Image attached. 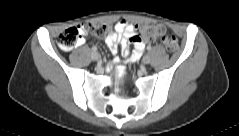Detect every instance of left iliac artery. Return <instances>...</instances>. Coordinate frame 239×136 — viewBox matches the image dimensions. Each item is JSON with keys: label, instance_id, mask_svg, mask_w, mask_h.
Instances as JSON below:
<instances>
[{"label": "left iliac artery", "instance_id": "left-iliac-artery-1", "mask_svg": "<svg viewBox=\"0 0 239 136\" xmlns=\"http://www.w3.org/2000/svg\"><path fill=\"white\" fill-rule=\"evenodd\" d=\"M150 49V46H146V50H149Z\"/></svg>", "mask_w": 239, "mask_h": 136}]
</instances>
